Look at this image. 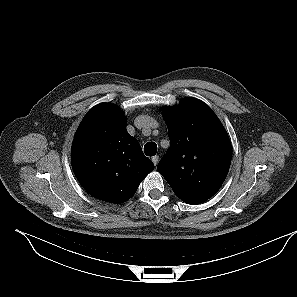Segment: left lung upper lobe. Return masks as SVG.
Wrapping results in <instances>:
<instances>
[{"instance_id":"1","label":"left lung upper lobe","mask_w":297,"mask_h":297,"mask_svg":"<svg viewBox=\"0 0 297 297\" xmlns=\"http://www.w3.org/2000/svg\"><path fill=\"white\" fill-rule=\"evenodd\" d=\"M171 142L157 170L187 204L211 198L222 186L231 164L229 136L215 113L196 98L164 107Z\"/></svg>"}]
</instances>
